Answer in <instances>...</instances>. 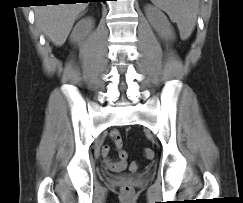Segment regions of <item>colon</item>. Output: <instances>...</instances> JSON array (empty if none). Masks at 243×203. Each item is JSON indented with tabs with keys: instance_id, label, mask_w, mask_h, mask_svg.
<instances>
[{
	"instance_id": "1",
	"label": "colon",
	"mask_w": 243,
	"mask_h": 203,
	"mask_svg": "<svg viewBox=\"0 0 243 203\" xmlns=\"http://www.w3.org/2000/svg\"><path fill=\"white\" fill-rule=\"evenodd\" d=\"M144 156H145L146 159L152 160L154 158L155 154L151 149H145ZM120 157L125 159L127 157L126 151H120ZM121 190L125 194H131L132 191H133L132 187L129 186V185L122 186Z\"/></svg>"
}]
</instances>
